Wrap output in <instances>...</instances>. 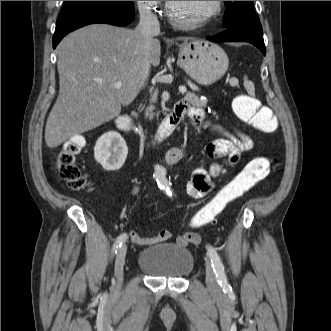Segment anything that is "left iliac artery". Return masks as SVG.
<instances>
[{
	"instance_id": "obj_1",
	"label": "left iliac artery",
	"mask_w": 331,
	"mask_h": 331,
	"mask_svg": "<svg viewBox=\"0 0 331 331\" xmlns=\"http://www.w3.org/2000/svg\"><path fill=\"white\" fill-rule=\"evenodd\" d=\"M157 184L159 186L160 189H163L164 191H166V193L168 195H172V192L170 190V182L168 183V180L165 178L164 173H160L157 172L154 175ZM207 250H208V254L210 256L211 259V263H212V267L213 270L216 274L217 277V281L219 283V285L224 289H228L230 287V285L228 284L227 281V277L224 271V266L223 263L218 255V253L216 252V250L212 247V246H207Z\"/></svg>"
}]
</instances>
